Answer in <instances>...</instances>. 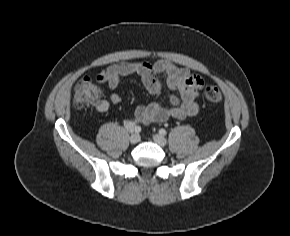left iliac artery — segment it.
Returning <instances> with one entry per match:
<instances>
[{"label": "left iliac artery", "mask_w": 290, "mask_h": 236, "mask_svg": "<svg viewBox=\"0 0 290 236\" xmlns=\"http://www.w3.org/2000/svg\"><path fill=\"white\" fill-rule=\"evenodd\" d=\"M159 133H160L161 135H166V134H167L166 130L163 129V128L159 130Z\"/></svg>", "instance_id": "1"}]
</instances>
